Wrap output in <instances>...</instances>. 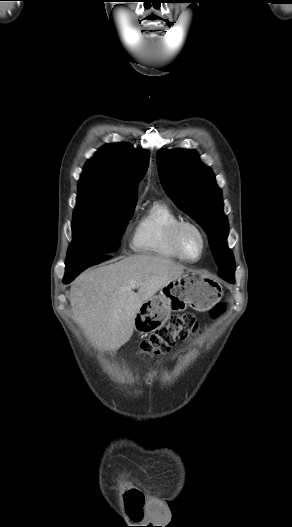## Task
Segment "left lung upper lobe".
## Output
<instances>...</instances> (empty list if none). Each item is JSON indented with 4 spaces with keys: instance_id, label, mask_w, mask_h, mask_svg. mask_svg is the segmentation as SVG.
Listing matches in <instances>:
<instances>
[{
    "instance_id": "obj_1",
    "label": "left lung upper lobe",
    "mask_w": 292,
    "mask_h": 527,
    "mask_svg": "<svg viewBox=\"0 0 292 527\" xmlns=\"http://www.w3.org/2000/svg\"><path fill=\"white\" fill-rule=\"evenodd\" d=\"M160 181L169 197L206 232L219 274L234 278V258L227 246L228 220L221 190L211 169L201 164L194 150H160Z\"/></svg>"
}]
</instances>
